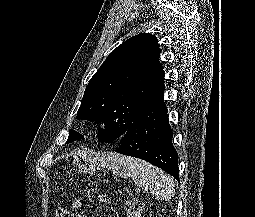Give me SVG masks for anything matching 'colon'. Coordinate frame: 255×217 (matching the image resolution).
<instances>
[{
  "mask_svg": "<svg viewBox=\"0 0 255 217\" xmlns=\"http://www.w3.org/2000/svg\"><path fill=\"white\" fill-rule=\"evenodd\" d=\"M74 206L80 204L79 200L71 198ZM125 211L127 217H142L143 203L139 199L128 200L125 204ZM55 217H72V213L65 207H60L55 213Z\"/></svg>",
  "mask_w": 255,
  "mask_h": 217,
  "instance_id": "colon-1",
  "label": "colon"
}]
</instances>
